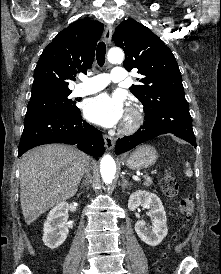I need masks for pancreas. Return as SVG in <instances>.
Returning a JSON list of instances; mask_svg holds the SVG:
<instances>
[{
    "label": "pancreas",
    "instance_id": "1",
    "mask_svg": "<svg viewBox=\"0 0 221 274\" xmlns=\"http://www.w3.org/2000/svg\"><path fill=\"white\" fill-rule=\"evenodd\" d=\"M144 178H145V180H146L144 184H145L146 186H150L151 183H152L151 178H150L148 175H145Z\"/></svg>",
    "mask_w": 221,
    "mask_h": 274
}]
</instances>
